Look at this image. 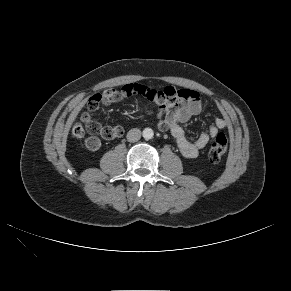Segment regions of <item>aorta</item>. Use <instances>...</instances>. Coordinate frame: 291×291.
<instances>
[{
    "mask_svg": "<svg viewBox=\"0 0 291 291\" xmlns=\"http://www.w3.org/2000/svg\"><path fill=\"white\" fill-rule=\"evenodd\" d=\"M142 133L144 139L146 140L152 139L154 136V132L151 128H145Z\"/></svg>",
    "mask_w": 291,
    "mask_h": 291,
    "instance_id": "obj_1",
    "label": "aorta"
}]
</instances>
